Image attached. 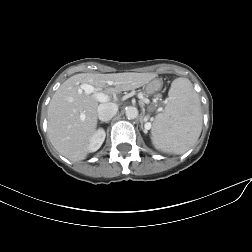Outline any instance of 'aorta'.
<instances>
[{
	"label": "aorta",
	"instance_id": "obj_1",
	"mask_svg": "<svg viewBox=\"0 0 252 252\" xmlns=\"http://www.w3.org/2000/svg\"><path fill=\"white\" fill-rule=\"evenodd\" d=\"M125 114L128 119H135L138 117V110L136 107L129 106L126 108Z\"/></svg>",
	"mask_w": 252,
	"mask_h": 252
}]
</instances>
